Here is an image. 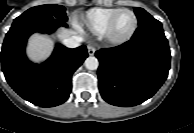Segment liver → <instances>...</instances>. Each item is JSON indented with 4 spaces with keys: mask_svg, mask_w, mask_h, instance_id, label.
<instances>
[{
    "mask_svg": "<svg viewBox=\"0 0 194 133\" xmlns=\"http://www.w3.org/2000/svg\"><path fill=\"white\" fill-rule=\"evenodd\" d=\"M74 34L75 33L71 30L61 28L58 31L57 36L59 39H64L71 37ZM52 47L53 41L49 37L35 34L29 40L27 53L33 61L39 62L46 59L49 56Z\"/></svg>",
    "mask_w": 194,
    "mask_h": 133,
    "instance_id": "6515ba94",
    "label": "liver"
}]
</instances>
